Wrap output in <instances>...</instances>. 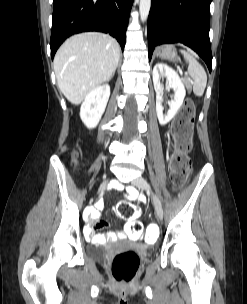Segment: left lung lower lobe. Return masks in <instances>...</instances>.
<instances>
[{
    "instance_id": "0a47b994",
    "label": "left lung lower lobe",
    "mask_w": 247,
    "mask_h": 304,
    "mask_svg": "<svg viewBox=\"0 0 247 304\" xmlns=\"http://www.w3.org/2000/svg\"><path fill=\"white\" fill-rule=\"evenodd\" d=\"M212 0H152L148 17V47L183 43L198 53L212 69L210 3Z\"/></svg>"
}]
</instances>
